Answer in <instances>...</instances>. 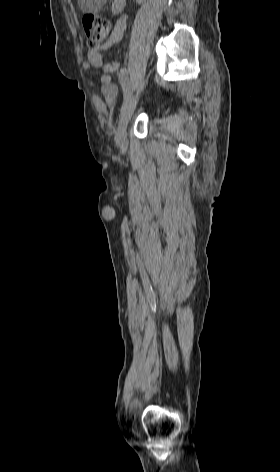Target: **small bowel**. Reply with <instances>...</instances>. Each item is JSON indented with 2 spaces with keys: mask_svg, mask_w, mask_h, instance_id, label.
<instances>
[{
  "mask_svg": "<svg viewBox=\"0 0 280 472\" xmlns=\"http://www.w3.org/2000/svg\"><path fill=\"white\" fill-rule=\"evenodd\" d=\"M125 27V22L119 21L103 49L118 43L123 37ZM94 68H100L104 73L100 77L99 90H95L92 94V102L99 112L107 113L108 109L115 105L119 94V88L112 82L111 78L112 74L119 71V64L116 62H104L100 51L95 50L88 54L87 61L83 63V70L85 72H90Z\"/></svg>",
  "mask_w": 280,
  "mask_h": 472,
  "instance_id": "c3829d8e",
  "label": "small bowel"
}]
</instances>
